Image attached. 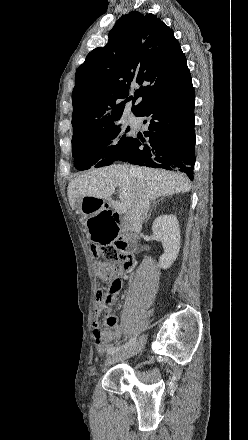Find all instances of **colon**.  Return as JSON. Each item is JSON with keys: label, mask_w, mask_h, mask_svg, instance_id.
I'll return each instance as SVG.
<instances>
[{"label": "colon", "mask_w": 248, "mask_h": 440, "mask_svg": "<svg viewBox=\"0 0 248 440\" xmlns=\"http://www.w3.org/2000/svg\"><path fill=\"white\" fill-rule=\"evenodd\" d=\"M97 274L100 278L108 280L107 287L97 292L96 303L104 308L111 306L121 288V281L113 278L122 267L127 270L132 267V261L121 251L118 245L95 246L93 248Z\"/></svg>", "instance_id": "1"}]
</instances>
